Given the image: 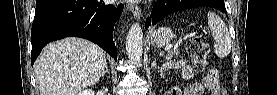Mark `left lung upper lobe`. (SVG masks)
I'll list each match as a JSON object with an SVG mask.
<instances>
[{"label":"left lung upper lobe","mask_w":277,"mask_h":95,"mask_svg":"<svg viewBox=\"0 0 277 95\" xmlns=\"http://www.w3.org/2000/svg\"><path fill=\"white\" fill-rule=\"evenodd\" d=\"M204 4H213V5H224V0H204L202 3H197L193 0H182L180 5L186 6L189 8L202 7Z\"/></svg>","instance_id":"left-lung-upper-lobe-1"}]
</instances>
